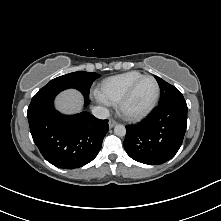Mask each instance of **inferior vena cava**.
<instances>
[{"label": "inferior vena cava", "instance_id": "obj_1", "mask_svg": "<svg viewBox=\"0 0 221 221\" xmlns=\"http://www.w3.org/2000/svg\"><path fill=\"white\" fill-rule=\"evenodd\" d=\"M92 114L96 117V118H99V119H106L109 117V110L104 108V107H101V106H97V107H94L92 109Z\"/></svg>", "mask_w": 221, "mask_h": 221}]
</instances>
